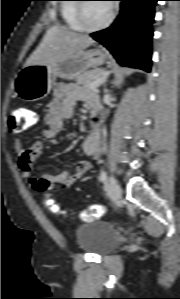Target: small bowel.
<instances>
[{"label": "small bowel", "mask_w": 180, "mask_h": 299, "mask_svg": "<svg viewBox=\"0 0 180 299\" xmlns=\"http://www.w3.org/2000/svg\"><path fill=\"white\" fill-rule=\"evenodd\" d=\"M96 100V95L77 88L72 84L58 83L54 89L53 99L44 113L45 129L43 136L46 139L55 138L63 127V121L71 118L75 113L78 102ZM101 135L98 131L89 133L82 143L83 153L94 159L100 155ZM15 149L19 155V166L27 183L35 189L36 182L50 185L71 186L81 179L90 169L89 161H79L70 168H65L58 174H43L36 176L32 167L42 153V143L33 142L29 147L24 146L21 139L15 141Z\"/></svg>", "instance_id": "obj_1"}]
</instances>
